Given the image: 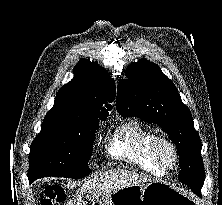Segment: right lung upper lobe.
Instances as JSON below:
<instances>
[{"label":"right lung upper lobe","instance_id":"obj_1","mask_svg":"<svg viewBox=\"0 0 222 205\" xmlns=\"http://www.w3.org/2000/svg\"><path fill=\"white\" fill-rule=\"evenodd\" d=\"M74 78L57 93L44 121H90L107 118L114 101L115 84L110 73L96 62L81 59ZM105 104V107H103Z\"/></svg>","mask_w":222,"mask_h":205}]
</instances>
